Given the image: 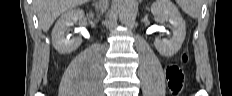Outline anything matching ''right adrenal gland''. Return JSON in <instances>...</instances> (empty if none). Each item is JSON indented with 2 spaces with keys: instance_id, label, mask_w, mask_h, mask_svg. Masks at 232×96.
<instances>
[{
  "instance_id": "2a0ac1e0",
  "label": "right adrenal gland",
  "mask_w": 232,
  "mask_h": 96,
  "mask_svg": "<svg viewBox=\"0 0 232 96\" xmlns=\"http://www.w3.org/2000/svg\"><path fill=\"white\" fill-rule=\"evenodd\" d=\"M94 4H93V6L95 7V10H97V11H99V9H100V4L98 3V1L97 0H94Z\"/></svg>"
}]
</instances>
